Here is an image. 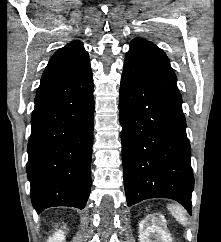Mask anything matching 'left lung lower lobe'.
I'll return each mask as SVG.
<instances>
[{
	"label": "left lung lower lobe",
	"mask_w": 221,
	"mask_h": 242,
	"mask_svg": "<svg viewBox=\"0 0 221 242\" xmlns=\"http://www.w3.org/2000/svg\"><path fill=\"white\" fill-rule=\"evenodd\" d=\"M119 113L127 205L170 198L191 214L194 177L180 92L124 66Z\"/></svg>",
	"instance_id": "obj_1"
}]
</instances>
